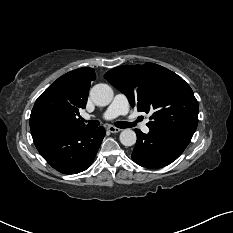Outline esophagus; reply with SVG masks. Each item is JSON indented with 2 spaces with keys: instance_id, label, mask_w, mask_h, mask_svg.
Returning <instances> with one entry per match:
<instances>
[{
  "instance_id": "esophagus-1",
  "label": "esophagus",
  "mask_w": 233,
  "mask_h": 233,
  "mask_svg": "<svg viewBox=\"0 0 233 233\" xmlns=\"http://www.w3.org/2000/svg\"><path fill=\"white\" fill-rule=\"evenodd\" d=\"M107 130H108V132H110V133H118V132H120L121 129L116 128V127H114V126H109V127L107 128Z\"/></svg>"
}]
</instances>
